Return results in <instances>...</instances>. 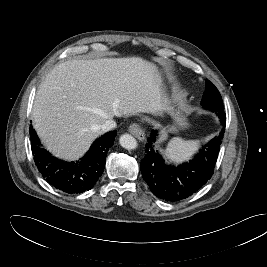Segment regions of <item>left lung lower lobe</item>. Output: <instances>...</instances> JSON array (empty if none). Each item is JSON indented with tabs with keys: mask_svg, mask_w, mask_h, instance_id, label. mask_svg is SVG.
I'll use <instances>...</instances> for the list:
<instances>
[{
	"mask_svg": "<svg viewBox=\"0 0 267 267\" xmlns=\"http://www.w3.org/2000/svg\"><path fill=\"white\" fill-rule=\"evenodd\" d=\"M223 126L218 136L203 146L188 163L167 165L155 149L158 131H152L146 144L141 172L153 194L166 201L186 199L197 192L213 175L220 145L225 132L226 114L216 111Z\"/></svg>",
	"mask_w": 267,
	"mask_h": 267,
	"instance_id": "left-lung-lower-lobe-1",
	"label": "left lung lower lobe"
}]
</instances>
